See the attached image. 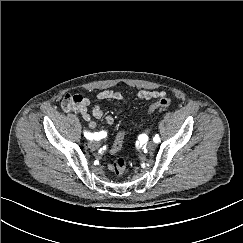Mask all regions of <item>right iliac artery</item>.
<instances>
[{"label": "right iliac artery", "instance_id": "82829eb1", "mask_svg": "<svg viewBox=\"0 0 243 243\" xmlns=\"http://www.w3.org/2000/svg\"><path fill=\"white\" fill-rule=\"evenodd\" d=\"M104 133H102V132H99V133H94V134H92V133H90V132H88V131H85L84 132V136L87 138V139H89V140H101L103 137H104V135H103Z\"/></svg>", "mask_w": 243, "mask_h": 243}]
</instances>
